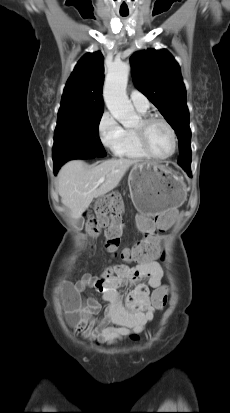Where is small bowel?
<instances>
[{"label":"small bowel","instance_id":"small-bowel-1","mask_svg":"<svg viewBox=\"0 0 230 413\" xmlns=\"http://www.w3.org/2000/svg\"><path fill=\"white\" fill-rule=\"evenodd\" d=\"M177 208L171 207L166 214L158 218H136L139 231H167L178 221ZM164 271L154 260L140 262L136 266L117 264L110 266L98 278L85 274L74 285H67L64 290V302L76 299V308L67 309L69 322L77 333L84 338L98 343L113 344L144 330L152 321L157 308L152 301L155 293L168 295V287L162 284ZM143 279L148 284L141 283ZM134 284V289L124 296L121 288ZM93 288L100 292L107 302L102 317H97L102 306L91 295L84 299L82 293ZM149 288L153 289L150 294ZM67 308V306H66Z\"/></svg>","mask_w":230,"mask_h":413}]
</instances>
